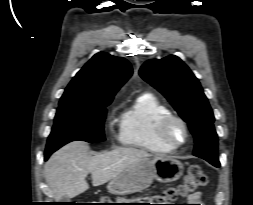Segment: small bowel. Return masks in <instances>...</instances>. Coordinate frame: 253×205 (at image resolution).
I'll use <instances>...</instances> for the list:
<instances>
[{"instance_id":"small-bowel-1","label":"small bowel","mask_w":253,"mask_h":205,"mask_svg":"<svg viewBox=\"0 0 253 205\" xmlns=\"http://www.w3.org/2000/svg\"><path fill=\"white\" fill-rule=\"evenodd\" d=\"M188 201L192 204L190 205H203L201 203V193L196 192L193 195L188 197Z\"/></svg>"}]
</instances>
